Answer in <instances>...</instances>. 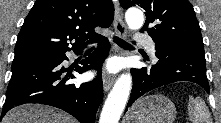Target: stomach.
Instances as JSON below:
<instances>
[{
	"mask_svg": "<svg viewBox=\"0 0 221 123\" xmlns=\"http://www.w3.org/2000/svg\"><path fill=\"white\" fill-rule=\"evenodd\" d=\"M176 114V107L170 99L162 95H149L131 106L125 123H173Z\"/></svg>",
	"mask_w": 221,
	"mask_h": 123,
	"instance_id": "0dacf381",
	"label": "stomach"
}]
</instances>
